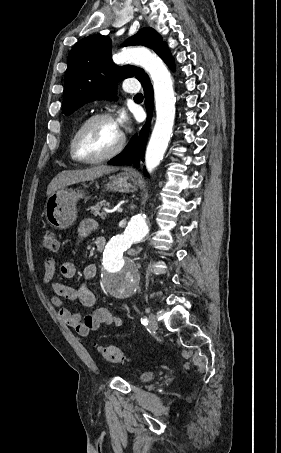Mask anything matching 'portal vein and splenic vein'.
I'll list each match as a JSON object with an SVG mask.
<instances>
[{
    "label": "portal vein and splenic vein",
    "mask_w": 281,
    "mask_h": 453,
    "mask_svg": "<svg viewBox=\"0 0 281 453\" xmlns=\"http://www.w3.org/2000/svg\"><path fill=\"white\" fill-rule=\"evenodd\" d=\"M117 212H122L123 210L120 208H116Z\"/></svg>",
    "instance_id": "obj_1"
}]
</instances>
